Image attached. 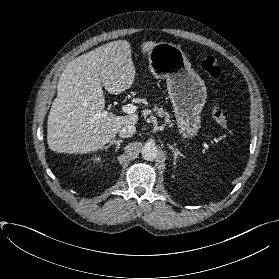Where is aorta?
<instances>
[{"mask_svg": "<svg viewBox=\"0 0 279 279\" xmlns=\"http://www.w3.org/2000/svg\"><path fill=\"white\" fill-rule=\"evenodd\" d=\"M158 149L154 143L147 142L142 149V157L147 161H153L157 158Z\"/></svg>", "mask_w": 279, "mask_h": 279, "instance_id": "1", "label": "aorta"}]
</instances>
